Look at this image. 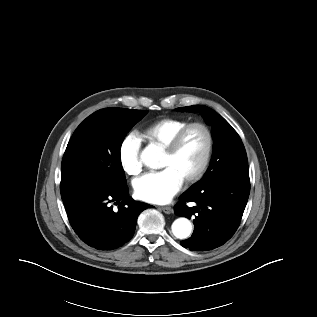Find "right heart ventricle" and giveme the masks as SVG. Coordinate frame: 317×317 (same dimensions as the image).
<instances>
[{"label": "right heart ventricle", "instance_id": "right-heart-ventricle-1", "mask_svg": "<svg viewBox=\"0 0 317 317\" xmlns=\"http://www.w3.org/2000/svg\"><path fill=\"white\" fill-rule=\"evenodd\" d=\"M188 123L182 118H161L143 128L140 136L150 144L164 149L175 134Z\"/></svg>", "mask_w": 317, "mask_h": 317}]
</instances>
